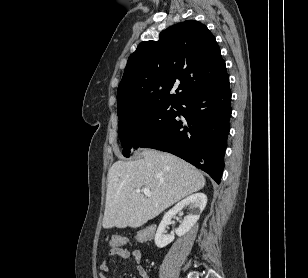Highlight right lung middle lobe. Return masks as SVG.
Instances as JSON below:
<instances>
[{
    "mask_svg": "<svg viewBox=\"0 0 308 278\" xmlns=\"http://www.w3.org/2000/svg\"><path fill=\"white\" fill-rule=\"evenodd\" d=\"M177 104L158 103L138 109L119 121V137L123 154L130 156L132 148L164 129L176 116Z\"/></svg>",
    "mask_w": 308,
    "mask_h": 278,
    "instance_id": "1",
    "label": "right lung middle lobe"
}]
</instances>
